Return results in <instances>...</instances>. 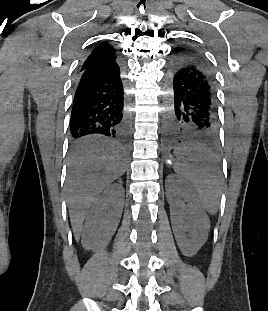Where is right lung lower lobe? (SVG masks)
Here are the masks:
<instances>
[{"mask_svg":"<svg viewBox=\"0 0 268 311\" xmlns=\"http://www.w3.org/2000/svg\"><path fill=\"white\" fill-rule=\"evenodd\" d=\"M69 129L73 140L98 134L127 143L130 118L119 61L106 67L80 69Z\"/></svg>","mask_w":268,"mask_h":311,"instance_id":"obj_1","label":"right lung lower lobe"}]
</instances>
